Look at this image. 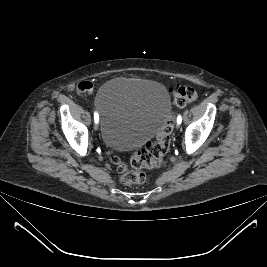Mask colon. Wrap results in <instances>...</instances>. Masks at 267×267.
Instances as JSON below:
<instances>
[{"mask_svg":"<svg viewBox=\"0 0 267 267\" xmlns=\"http://www.w3.org/2000/svg\"><path fill=\"white\" fill-rule=\"evenodd\" d=\"M196 99L197 93L190 86H179L173 91V100L178 107H184ZM172 121L173 115L171 114L156 138L132 155L130 165L115 158L114 162L121 174L120 179L123 184L142 183L146 179L144 169H155L164 165L165 156L170 149Z\"/></svg>","mask_w":267,"mask_h":267,"instance_id":"5ec220e1","label":"colon"}]
</instances>
